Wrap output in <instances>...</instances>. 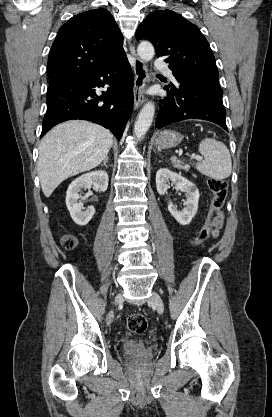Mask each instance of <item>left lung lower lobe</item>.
<instances>
[{"instance_id": "left-lung-lower-lobe-1", "label": "left lung lower lobe", "mask_w": 272, "mask_h": 417, "mask_svg": "<svg viewBox=\"0 0 272 417\" xmlns=\"http://www.w3.org/2000/svg\"><path fill=\"white\" fill-rule=\"evenodd\" d=\"M176 80L178 84H170L164 88L168 95L161 101L162 106L155 125L157 129L186 119H203L228 131L222 95L208 92L185 79Z\"/></svg>"}]
</instances>
